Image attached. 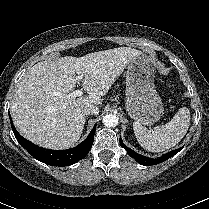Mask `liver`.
I'll return each instance as SVG.
<instances>
[{
  "label": "liver",
  "instance_id": "1",
  "mask_svg": "<svg viewBox=\"0 0 209 209\" xmlns=\"http://www.w3.org/2000/svg\"><path fill=\"white\" fill-rule=\"evenodd\" d=\"M142 52L119 47L82 57H60L35 64L18 83L11 115L20 134L49 149H67L79 140L85 124V105L102 104L104 96L126 65ZM77 75L83 76L86 97H73Z\"/></svg>",
  "mask_w": 209,
  "mask_h": 209
}]
</instances>
